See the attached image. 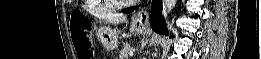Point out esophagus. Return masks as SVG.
I'll return each mask as SVG.
<instances>
[{
  "instance_id": "1",
  "label": "esophagus",
  "mask_w": 261,
  "mask_h": 59,
  "mask_svg": "<svg viewBox=\"0 0 261 59\" xmlns=\"http://www.w3.org/2000/svg\"><path fill=\"white\" fill-rule=\"evenodd\" d=\"M133 21L140 25H147L149 22V13L146 10H140L133 16Z\"/></svg>"
}]
</instances>
